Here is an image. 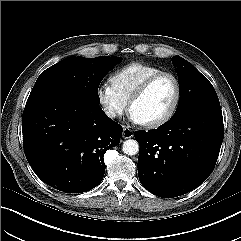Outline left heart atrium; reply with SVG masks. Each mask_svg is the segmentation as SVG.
Returning a JSON list of instances; mask_svg holds the SVG:
<instances>
[{"mask_svg":"<svg viewBox=\"0 0 241 241\" xmlns=\"http://www.w3.org/2000/svg\"><path fill=\"white\" fill-rule=\"evenodd\" d=\"M131 119H132L135 123H139V124L142 123V122H141L138 118H136L132 113H131Z\"/></svg>","mask_w":241,"mask_h":241,"instance_id":"obj_1","label":"left heart atrium"}]
</instances>
